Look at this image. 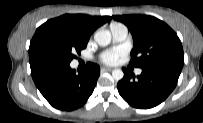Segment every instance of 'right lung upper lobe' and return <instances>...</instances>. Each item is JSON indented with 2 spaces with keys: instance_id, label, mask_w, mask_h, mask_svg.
<instances>
[{
  "instance_id": "right-lung-upper-lobe-1",
  "label": "right lung upper lobe",
  "mask_w": 203,
  "mask_h": 123,
  "mask_svg": "<svg viewBox=\"0 0 203 123\" xmlns=\"http://www.w3.org/2000/svg\"><path fill=\"white\" fill-rule=\"evenodd\" d=\"M53 21L72 27L81 37L89 40L90 35L101 25L111 20L110 16H89L85 14H65Z\"/></svg>"
}]
</instances>
